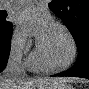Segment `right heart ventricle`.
I'll use <instances>...</instances> for the list:
<instances>
[{
  "label": "right heart ventricle",
  "instance_id": "obj_1",
  "mask_svg": "<svg viewBox=\"0 0 89 89\" xmlns=\"http://www.w3.org/2000/svg\"><path fill=\"white\" fill-rule=\"evenodd\" d=\"M27 65L29 68L33 70H45V67L43 66V64L41 63V61L39 60L36 54L29 57L27 61Z\"/></svg>",
  "mask_w": 89,
  "mask_h": 89
}]
</instances>
